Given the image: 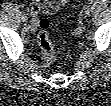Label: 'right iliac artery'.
Masks as SVG:
<instances>
[{
  "label": "right iliac artery",
  "instance_id": "1",
  "mask_svg": "<svg viewBox=\"0 0 111 106\" xmlns=\"http://www.w3.org/2000/svg\"><path fill=\"white\" fill-rule=\"evenodd\" d=\"M21 15H22V17H27L28 14H27V12L25 10L22 9Z\"/></svg>",
  "mask_w": 111,
  "mask_h": 106
}]
</instances>
